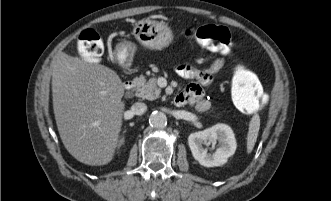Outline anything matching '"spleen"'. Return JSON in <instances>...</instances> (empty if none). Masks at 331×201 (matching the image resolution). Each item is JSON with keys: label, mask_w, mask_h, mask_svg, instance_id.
<instances>
[{"label": "spleen", "mask_w": 331, "mask_h": 201, "mask_svg": "<svg viewBox=\"0 0 331 201\" xmlns=\"http://www.w3.org/2000/svg\"><path fill=\"white\" fill-rule=\"evenodd\" d=\"M260 129V117L258 114L253 115L249 123V131L247 134V153H251L257 141L258 132Z\"/></svg>", "instance_id": "3e777b00"}]
</instances>
